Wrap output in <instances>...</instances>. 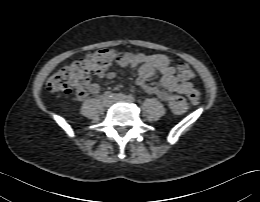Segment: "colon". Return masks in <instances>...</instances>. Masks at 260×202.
<instances>
[{"label": "colon", "mask_w": 260, "mask_h": 202, "mask_svg": "<svg viewBox=\"0 0 260 202\" xmlns=\"http://www.w3.org/2000/svg\"><path fill=\"white\" fill-rule=\"evenodd\" d=\"M116 52L110 48L93 51L84 57L63 66L55 72L47 82L51 92L69 94L79 91L91 76L104 72L115 60ZM178 76L181 80L189 81L195 78V72L186 63L177 64ZM189 100L196 104L200 100V92L191 89L188 92Z\"/></svg>", "instance_id": "colon-1"}]
</instances>
